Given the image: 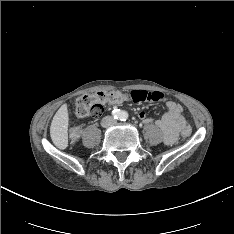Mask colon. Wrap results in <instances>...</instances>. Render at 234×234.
<instances>
[{"mask_svg": "<svg viewBox=\"0 0 234 234\" xmlns=\"http://www.w3.org/2000/svg\"><path fill=\"white\" fill-rule=\"evenodd\" d=\"M163 94L160 92L132 91L130 93L122 91H100L93 94L83 95L75 101V114L79 118L100 117L107 104H120L126 101L142 103L146 101H160ZM80 128L74 127L70 130L69 139L71 143L76 142L80 137ZM191 135V128L186 126L182 131L183 137Z\"/></svg>", "mask_w": 234, "mask_h": 234, "instance_id": "1", "label": "colon"}]
</instances>
